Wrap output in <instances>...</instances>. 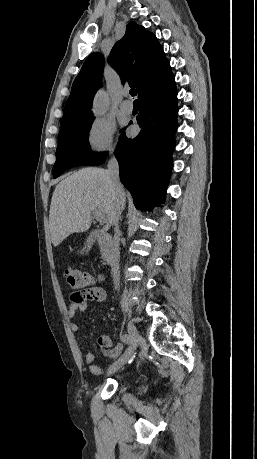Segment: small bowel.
I'll list each match as a JSON object with an SVG mask.
<instances>
[{"instance_id":"obj_1","label":"small bowel","mask_w":257,"mask_h":459,"mask_svg":"<svg viewBox=\"0 0 257 459\" xmlns=\"http://www.w3.org/2000/svg\"><path fill=\"white\" fill-rule=\"evenodd\" d=\"M89 296L82 300L76 301L75 295L76 291H74L70 295L71 304L68 307L67 315L70 320H74L78 313H83L87 310L88 303L90 301H96L103 303L107 300V293L104 288L100 286H93L88 288ZM70 329L73 332H78L80 330V325L77 322L72 321L70 323ZM97 343L106 358L115 359L119 356L121 351L123 350L122 344H117L113 346L112 340L108 335H101L97 339ZM85 361L90 370V372L94 375L101 374V369L95 363L94 355L91 352H87L85 354Z\"/></svg>"}]
</instances>
